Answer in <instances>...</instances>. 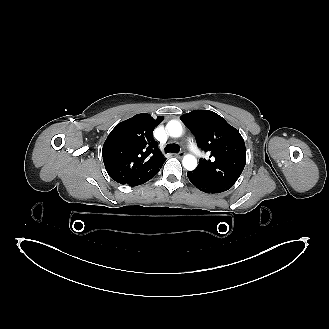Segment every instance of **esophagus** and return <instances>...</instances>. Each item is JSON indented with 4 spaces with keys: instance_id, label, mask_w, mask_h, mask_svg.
<instances>
[{
    "instance_id": "1",
    "label": "esophagus",
    "mask_w": 329,
    "mask_h": 329,
    "mask_svg": "<svg viewBox=\"0 0 329 329\" xmlns=\"http://www.w3.org/2000/svg\"><path fill=\"white\" fill-rule=\"evenodd\" d=\"M175 156L178 157V158H182L184 156V153L179 152V153H176Z\"/></svg>"
}]
</instances>
